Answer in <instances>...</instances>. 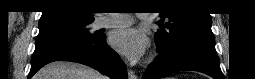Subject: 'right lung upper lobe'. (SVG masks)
Masks as SVG:
<instances>
[{"instance_id": "cb5924a9", "label": "right lung upper lobe", "mask_w": 255, "mask_h": 79, "mask_svg": "<svg viewBox=\"0 0 255 79\" xmlns=\"http://www.w3.org/2000/svg\"><path fill=\"white\" fill-rule=\"evenodd\" d=\"M90 0H48L40 19L59 16H74L85 21H94Z\"/></svg>"}]
</instances>
